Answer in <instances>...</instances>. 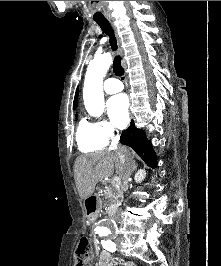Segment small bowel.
I'll use <instances>...</instances> for the list:
<instances>
[{"mask_svg": "<svg viewBox=\"0 0 221 266\" xmlns=\"http://www.w3.org/2000/svg\"><path fill=\"white\" fill-rule=\"evenodd\" d=\"M117 264H121V266H136L131 261H121V260H114L112 255L109 252H102L98 259L96 266H115Z\"/></svg>", "mask_w": 221, "mask_h": 266, "instance_id": "1", "label": "small bowel"}]
</instances>
